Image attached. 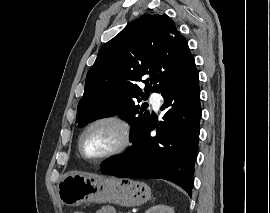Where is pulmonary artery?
<instances>
[{
  "label": "pulmonary artery",
  "mask_w": 270,
  "mask_h": 213,
  "mask_svg": "<svg viewBox=\"0 0 270 213\" xmlns=\"http://www.w3.org/2000/svg\"><path fill=\"white\" fill-rule=\"evenodd\" d=\"M160 100H161V95L159 93H152L150 96V102L154 106L155 109H158L160 106Z\"/></svg>",
  "instance_id": "e3ab8cb5"
}]
</instances>
